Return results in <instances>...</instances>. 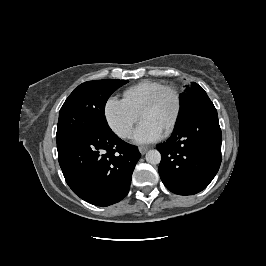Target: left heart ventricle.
Returning <instances> with one entry per match:
<instances>
[{
	"label": "left heart ventricle",
	"mask_w": 266,
	"mask_h": 266,
	"mask_svg": "<svg viewBox=\"0 0 266 266\" xmlns=\"http://www.w3.org/2000/svg\"><path fill=\"white\" fill-rule=\"evenodd\" d=\"M176 110V99L172 92H164L156 103L148 108L143 119H149L160 126L163 130L171 122Z\"/></svg>",
	"instance_id": "b2bd125f"
}]
</instances>
